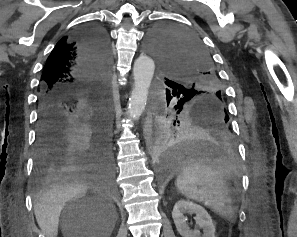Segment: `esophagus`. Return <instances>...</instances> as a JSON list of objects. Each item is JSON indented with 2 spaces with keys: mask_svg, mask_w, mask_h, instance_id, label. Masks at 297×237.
<instances>
[{
  "mask_svg": "<svg viewBox=\"0 0 297 237\" xmlns=\"http://www.w3.org/2000/svg\"><path fill=\"white\" fill-rule=\"evenodd\" d=\"M144 133H145V141L147 146H150L152 143V136H151V116L148 115L146 118V124L144 126Z\"/></svg>",
  "mask_w": 297,
  "mask_h": 237,
  "instance_id": "esophagus-1",
  "label": "esophagus"
}]
</instances>
